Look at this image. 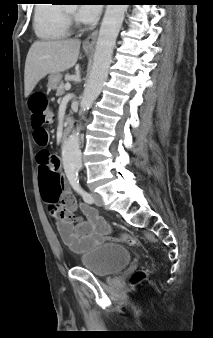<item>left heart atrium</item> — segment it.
Here are the masks:
<instances>
[{
  "label": "left heart atrium",
  "mask_w": 213,
  "mask_h": 338,
  "mask_svg": "<svg viewBox=\"0 0 213 338\" xmlns=\"http://www.w3.org/2000/svg\"><path fill=\"white\" fill-rule=\"evenodd\" d=\"M101 8V5L82 4L77 13V18L84 23H94L101 14Z\"/></svg>",
  "instance_id": "39dd6f15"
}]
</instances>
